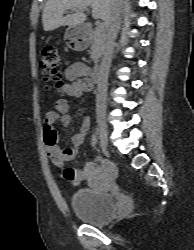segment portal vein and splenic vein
I'll use <instances>...</instances> for the list:
<instances>
[{
  "instance_id": "1",
  "label": "portal vein and splenic vein",
  "mask_w": 194,
  "mask_h": 250,
  "mask_svg": "<svg viewBox=\"0 0 194 250\" xmlns=\"http://www.w3.org/2000/svg\"><path fill=\"white\" fill-rule=\"evenodd\" d=\"M74 12H76V13H80V12H82V11H88V9L87 8H84V9H82V10H80V11H77V10H73ZM97 28L98 29H102L103 28V25L102 24H98L97 25Z\"/></svg>"
}]
</instances>
